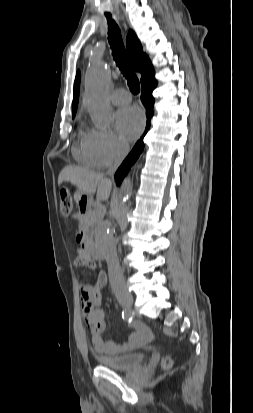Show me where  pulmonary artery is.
Segmentation results:
<instances>
[{
    "label": "pulmonary artery",
    "mask_w": 253,
    "mask_h": 413,
    "mask_svg": "<svg viewBox=\"0 0 253 413\" xmlns=\"http://www.w3.org/2000/svg\"><path fill=\"white\" fill-rule=\"evenodd\" d=\"M110 100L114 105H125L131 101V97L125 89H116L110 95Z\"/></svg>",
    "instance_id": "1"
}]
</instances>
